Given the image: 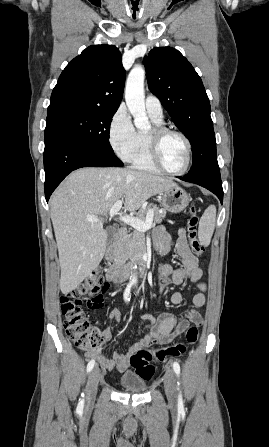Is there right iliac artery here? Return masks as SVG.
<instances>
[{"label":"right iliac artery","mask_w":269,"mask_h":447,"mask_svg":"<svg viewBox=\"0 0 269 447\" xmlns=\"http://www.w3.org/2000/svg\"><path fill=\"white\" fill-rule=\"evenodd\" d=\"M130 289H131V286L128 285L126 290H125V292H124V299H125V301H130ZM94 364H95L94 360H91L88 363V365H87V372H90L93 369ZM81 396L84 397V393H82ZM83 406H84V399H81L79 404H78V407L83 409Z\"/></svg>","instance_id":"obj_1"}]
</instances>
